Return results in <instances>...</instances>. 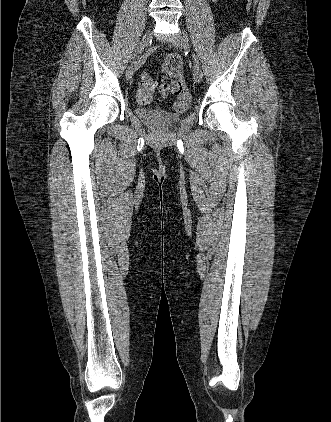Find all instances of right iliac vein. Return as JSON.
Segmentation results:
<instances>
[{
	"instance_id": "obj_1",
	"label": "right iliac vein",
	"mask_w": 331,
	"mask_h": 422,
	"mask_svg": "<svg viewBox=\"0 0 331 422\" xmlns=\"http://www.w3.org/2000/svg\"><path fill=\"white\" fill-rule=\"evenodd\" d=\"M151 37H152V32H151V30H148L144 34V36H143V38L141 40V44L140 45H142V50H143V48L145 46H147V44L149 43ZM137 68H138V63L137 62H134V64H130L129 67H128V69H127V71H126V78L127 79H131L132 76L134 75L135 71L137 70Z\"/></svg>"
}]
</instances>
